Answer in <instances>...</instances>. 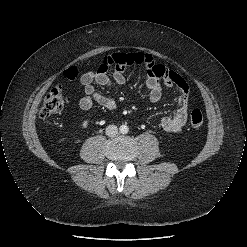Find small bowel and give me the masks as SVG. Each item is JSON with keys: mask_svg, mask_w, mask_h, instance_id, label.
I'll use <instances>...</instances> for the list:
<instances>
[{"mask_svg": "<svg viewBox=\"0 0 247 247\" xmlns=\"http://www.w3.org/2000/svg\"><path fill=\"white\" fill-rule=\"evenodd\" d=\"M132 65H142L146 68L145 88L151 102L156 103L161 99V81L166 87L176 89L177 110L174 114L162 117L160 126L167 132L181 133L187 121L188 85L178 73L155 63L150 54L143 52L109 54L104 57L97 70L84 73L80 78V82L84 87L85 96L79 101L80 108L89 110L95 103H98L108 110H114L116 101L112 97H107L97 92L93 83L120 89L125 84L124 72L127 67ZM110 68H112L111 78L108 76Z\"/></svg>", "mask_w": 247, "mask_h": 247, "instance_id": "1", "label": "small bowel"}]
</instances>
